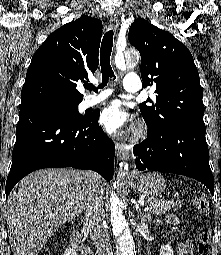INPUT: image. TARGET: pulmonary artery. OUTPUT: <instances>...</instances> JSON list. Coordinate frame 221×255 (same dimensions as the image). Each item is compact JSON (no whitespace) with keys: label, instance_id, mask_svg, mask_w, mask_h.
Returning a JSON list of instances; mask_svg holds the SVG:
<instances>
[{"label":"pulmonary artery","instance_id":"obj_1","mask_svg":"<svg viewBox=\"0 0 221 255\" xmlns=\"http://www.w3.org/2000/svg\"><path fill=\"white\" fill-rule=\"evenodd\" d=\"M140 76L138 74L129 73L124 78L123 87L128 92H137L140 89ZM112 94L111 90H102L100 93L96 95H90L86 98L85 104L86 106H92L97 103L102 102L107 97H109Z\"/></svg>","mask_w":221,"mask_h":255}]
</instances>
